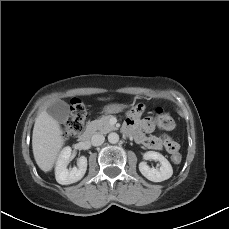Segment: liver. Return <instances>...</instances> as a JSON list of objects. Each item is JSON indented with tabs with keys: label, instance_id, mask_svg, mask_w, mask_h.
Listing matches in <instances>:
<instances>
[{
	"label": "liver",
	"instance_id": "obj_1",
	"mask_svg": "<svg viewBox=\"0 0 229 229\" xmlns=\"http://www.w3.org/2000/svg\"><path fill=\"white\" fill-rule=\"evenodd\" d=\"M62 135L63 131L58 121L43 110L35 120L32 135L33 155L42 171L52 170L64 145L65 140Z\"/></svg>",
	"mask_w": 229,
	"mask_h": 229
}]
</instances>
